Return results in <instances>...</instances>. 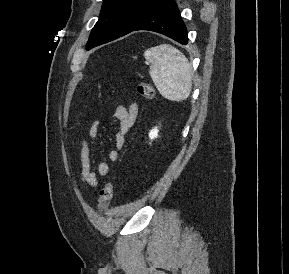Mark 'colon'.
<instances>
[{
    "instance_id": "obj_1",
    "label": "colon",
    "mask_w": 289,
    "mask_h": 274,
    "mask_svg": "<svg viewBox=\"0 0 289 274\" xmlns=\"http://www.w3.org/2000/svg\"><path fill=\"white\" fill-rule=\"evenodd\" d=\"M138 93L146 100H153L155 97V90L147 82H140L137 86ZM114 184L109 181L99 192V199L97 208L99 211H103L113 198Z\"/></svg>"
}]
</instances>
